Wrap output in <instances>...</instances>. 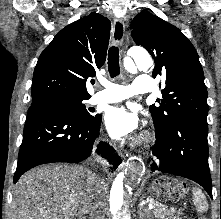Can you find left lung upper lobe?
Wrapping results in <instances>:
<instances>
[{"instance_id":"left-lung-upper-lobe-1","label":"left lung upper lobe","mask_w":221,"mask_h":219,"mask_svg":"<svg viewBox=\"0 0 221 219\" xmlns=\"http://www.w3.org/2000/svg\"><path fill=\"white\" fill-rule=\"evenodd\" d=\"M130 27L134 42L154 58L153 77L162 76L166 85L160 106H150L155 129L162 131L179 118L207 125V88L192 43L177 27L147 11L136 15Z\"/></svg>"}]
</instances>
